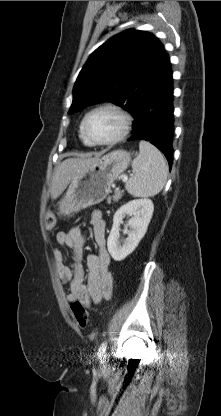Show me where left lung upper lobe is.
<instances>
[{
	"label": "left lung upper lobe",
	"instance_id": "1",
	"mask_svg": "<svg viewBox=\"0 0 221 416\" xmlns=\"http://www.w3.org/2000/svg\"><path fill=\"white\" fill-rule=\"evenodd\" d=\"M164 57V46L150 33L126 30L112 37L91 54L80 71L69 113L110 101L134 117Z\"/></svg>",
	"mask_w": 221,
	"mask_h": 416
}]
</instances>
